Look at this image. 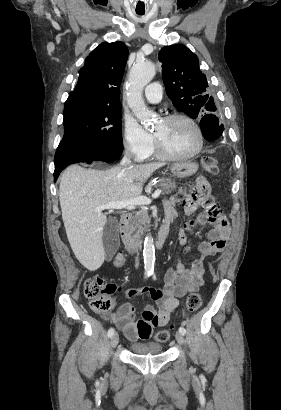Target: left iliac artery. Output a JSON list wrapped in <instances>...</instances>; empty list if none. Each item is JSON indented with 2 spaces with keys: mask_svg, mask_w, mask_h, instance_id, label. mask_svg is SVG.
Instances as JSON below:
<instances>
[{
  "mask_svg": "<svg viewBox=\"0 0 281 410\" xmlns=\"http://www.w3.org/2000/svg\"><path fill=\"white\" fill-rule=\"evenodd\" d=\"M179 332L182 333L183 335L186 333V330L184 327L179 328Z\"/></svg>",
  "mask_w": 281,
  "mask_h": 410,
  "instance_id": "obj_1",
  "label": "left iliac artery"
}]
</instances>
